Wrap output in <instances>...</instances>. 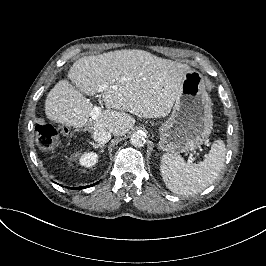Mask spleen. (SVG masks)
Returning <instances> with one entry per match:
<instances>
[{"label":"spleen","instance_id":"3e777b00","mask_svg":"<svg viewBox=\"0 0 266 266\" xmlns=\"http://www.w3.org/2000/svg\"><path fill=\"white\" fill-rule=\"evenodd\" d=\"M226 156L223 140L214 141L210 153L199 164L185 163L180 156L163 154L160 176L173 193L193 196L210 186L220 175Z\"/></svg>","mask_w":266,"mask_h":266}]
</instances>
